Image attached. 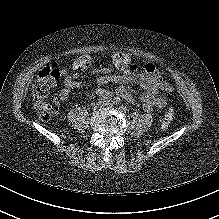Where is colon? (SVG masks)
<instances>
[{"label": "colon", "instance_id": "colon-1", "mask_svg": "<svg viewBox=\"0 0 219 219\" xmlns=\"http://www.w3.org/2000/svg\"><path fill=\"white\" fill-rule=\"evenodd\" d=\"M60 79V72L55 64H51L43 68L37 78L33 81L31 92L33 97V105L37 113L42 119L48 120L52 118L54 109L48 101L51 89ZM175 118V112L172 106L161 120V129H167Z\"/></svg>", "mask_w": 219, "mask_h": 219}]
</instances>
